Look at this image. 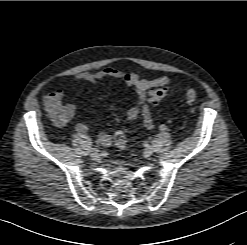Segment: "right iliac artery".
<instances>
[{
  "instance_id": "obj_1",
  "label": "right iliac artery",
  "mask_w": 247,
  "mask_h": 245,
  "mask_svg": "<svg viewBox=\"0 0 247 245\" xmlns=\"http://www.w3.org/2000/svg\"><path fill=\"white\" fill-rule=\"evenodd\" d=\"M92 152H99V148H97V147L93 148Z\"/></svg>"
}]
</instances>
